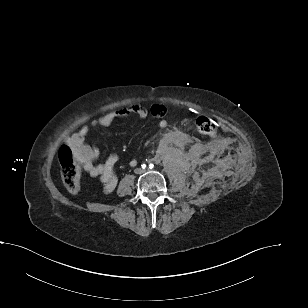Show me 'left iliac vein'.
<instances>
[{
  "mask_svg": "<svg viewBox=\"0 0 308 308\" xmlns=\"http://www.w3.org/2000/svg\"><path fill=\"white\" fill-rule=\"evenodd\" d=\"M146 170H142V173L145 172Z\"/></svg>",
  "mask_w": 308,
  "mask_h": 308,
  "instance_id": "4c4485c4",
  "label": "left iliac vein"
}]
</instances>
